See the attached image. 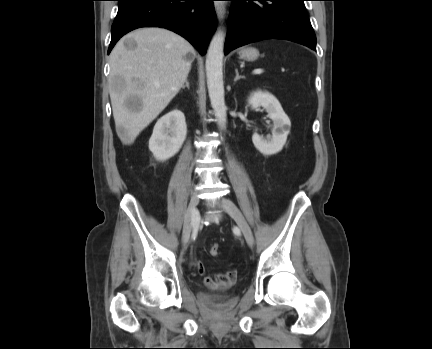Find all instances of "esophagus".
<instances>
[{
	"label": "esophagus",
	"instance_id": "34e87169",
	"mask_svg": "<svg viewBox=\"0 0 432 349\" xmlns=\"http://www.w3.org/2000/svg\"><path fill=\"white\" fill-rule=\"evenodd\" d=\"M215 10H216V14H217L218 19L220 21H222L226 15V8H225L224 4L219 3V2H215Z\"/></svg>",
	"mask_w": 432,
	"mask_h": 349
}]
</instances>
